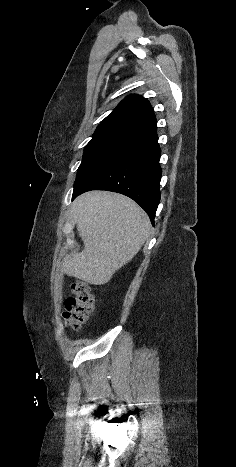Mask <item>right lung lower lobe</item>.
<instances>
[{
  "instance_id": "98d812e1",
  "label": "right lung lower lobe",
  "mask_w": 236,
  "mask_h": 467,
  "mask_svg": "<svg viewBox=\"0 0 236 467\" xmlns=\"http://www.w3.org/2000/svg\"><path fill=\"white\" fill-rule=\"evenodd\" d=\"M156 131L140 134L93 167L74 184L72 199L90 190L118 192L136 201L154 223L162 174Z\"/></svg>"
}]
</instances>
